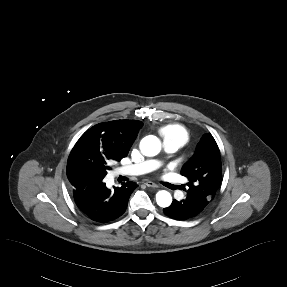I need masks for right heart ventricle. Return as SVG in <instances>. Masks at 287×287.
Listing matches in <instances>:
<instances>
[{
  "label": "right heart ventricle",
  "mask_w": 287,
  "mask_h": 287,
  "mask_svg": "<svg viewBox=\"0 0 287 287\" xmlns=\"http://www.w3.org/2000/svg\"><path fill=\"white\" fill-rule=\"evenodd\" d=\"M164 141H172L179 145V148L188 141V132L182 125L171 124L160 129Z\"/></svg>",
  "instance_id": "right-heart-ventricle-1"
}]
</instances>
